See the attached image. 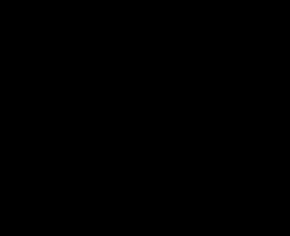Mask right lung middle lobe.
<instances>
[{"instance_id":"obj_1","label":"right lung middle lobe","mask_w":290,"mask_h":236,"mask_svg":"<svg viewBox=\"0 0 290 236\" xmlns=\"http://www.w3.org/2000/svg\"><path fill=\"white\" fill-rule=\"evenodd\" d=\"M140 55L141 50L131 45L86 50L60 74L51 107H128L123 84Z\"/></svg>"}]
</instances>
